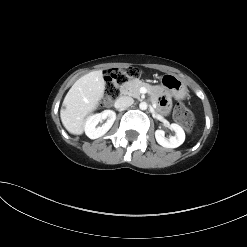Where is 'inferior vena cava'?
Wrapping results in <instances>:
<instances>
[{
  "label": "inferior vena cava",
  "instance_id": "inferior-vena-cava-1",
  "mask_svg": "<svg viewBox=\"0 0 247 247\" xmlns=\"http://www.w3.org/2000/svg\"><path fill=\"white\" fill-rule=\"evenodd\" d=\"M134 103L133 98L129 96H121L115 102L116 108H127Z\"/></svg>",
  "mask_w": 247,
  "mask_h": 247
}]
</instances>
